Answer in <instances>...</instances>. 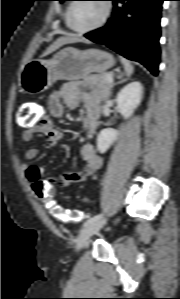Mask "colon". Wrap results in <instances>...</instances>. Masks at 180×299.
<instances>
[{"mask_svg": "<svg viewBox=\"0 0 180 299\" xmlns=\"http://www.w3.org/2000/svg\"><path fill=\"white\" fill-rule=\"evenodd\" d=\"M100 1V0H98ZM45 118V111L42 106L33 104L21 108L18 120L22 127L29 128L39 124ZM33 191L37 198L45 203L51 213L63 222H80L84 219V212L80 209H63L54 204V192L52 184L35 182L33 184Z\"/></svg>", "mask_w": 180, "mask_h": 299, "instance_id": "5ec220e1", "label": "colon"}]
</instances>
